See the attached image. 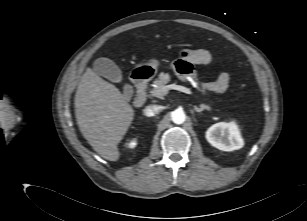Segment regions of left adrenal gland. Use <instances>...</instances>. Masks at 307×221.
<instances>
[{
  "label": "left adrenal gland",
  "mask_w": 307,
  "mask_h": 221,
  "mask_svg": "<svg viewBox=\"0 0 307 221\" xmlns=\"http://www.w3.org/2000/svg\"><path fill=\"white\" fill-rule=\"evenodd\" d=\"M194 110L197 112V113H200L201 111L203 110H208L210 111V107L205 105V104H201L200 107H197V106H194Z\"/></svg>",
  "instance_id": "a2214340"
}]
</instances>
